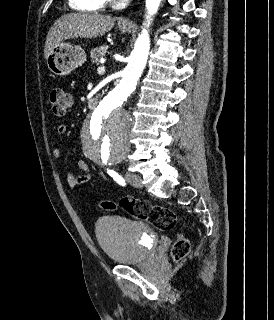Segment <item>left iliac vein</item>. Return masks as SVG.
<instances>
[{
	"mask_svg": "<svg viewBox=\"0 0 274 320\" xmlns=\"http://www.w3.org/2000/svg\"><path fill=\"white\" fill-rule=\"evenodd\" d=\"M125 179L127 182L136 187V188H141L142 187V179L138 174L131 173V172H126L125 174Z\"/></svg>",
	"mask_w": 274,
	"mask_h": 320,
	"instance_id": "left-iliac-vein-1",
	"label": "left iliac vein"
}]
</instances>
